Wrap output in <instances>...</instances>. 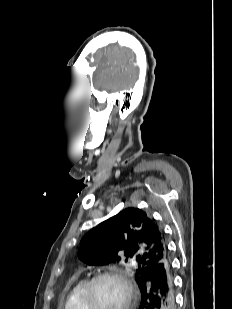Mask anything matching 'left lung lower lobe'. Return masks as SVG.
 Wrapping results in <instances>:
<instances>
[{"label":"left lung lower lobe","instance_id":"obj_1","mask_svg":"<svg viewBox=\"0 0 232 309\" xmlns=\"http://www.w3.org/2000/svg\"><path fill=\"white\" fill-rule=\"evenodd\" d=\"M139 288V309H175L173 268L168 255L149 269Z\"/></svg>","mask_w":232,"mask_h":309}]
</instances>
